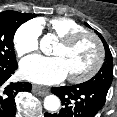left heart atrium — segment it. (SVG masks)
I'll list each match as a JSON object with an SVG mask.
<instances>
[{
	"mask_svg": "<svg viewBox=\"0 0 117 117\" xmlns=\"http://www.w3.org/2000/svg\"><path fill=\"white\" fill-rule=\"evenodd\" d=\"M20 70L24 78L40 84H55L68 76L63 61L56 56L28 57L21 62Z\"/></svg>",
	"mask_w": 117,
	"mask_h": 117,
	"instance_id": "1",
	"label": "left heart atrium"
}]
</instances>
